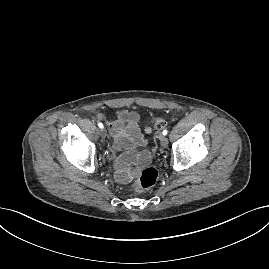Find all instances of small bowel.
Instances as JSON below:
<instances>
[{
    "label": "small bowel",
    "instance_id": "c3829d8e",
    "mask_svg": "<svg viewBox=\"0 0 269 269\" xmlns=\"http://www.w3.org/2000/svg\"><path fill=\"white\" fill-rule=\"evenodd\" d=\"M140 116L135 111H120L116 120L110 125L114 147L119 150L125 148L126 153L115 159L116 179L120 183H128L137 177L138 170L149 163V155L134 152L144 147L146 140L140 132Z\"/></svg>",
    "mask_w": 269,
    "mask_h": 269
}]
</instances>
